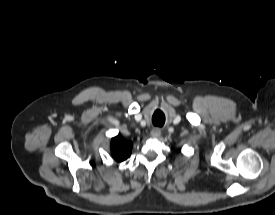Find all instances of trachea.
Returning a JSON list of instances; mask_svg holds the SVG:
<instances>
[{
  "label": "trachea",
  "instance_id": "trachea-1",
  "mask_svg": "<svg viewBox=\"0 0 275 215\" xmlns=\"http://www.w3.org/2000/svg\"><path fill=\"white\" fill-rule=\"evenodd\" d=\"M165 122V117L162 112L156 111L152 116V123L154 126L161 127Z\"/></svg>",
  "mask_w": 275,
  "mask_h": 215
}]
</instances>
